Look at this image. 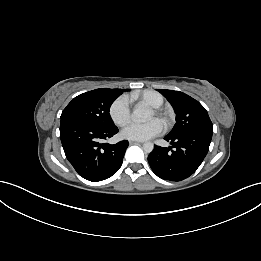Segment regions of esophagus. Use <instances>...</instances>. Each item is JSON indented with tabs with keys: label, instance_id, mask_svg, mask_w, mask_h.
I'll list each match as a JSON object with an SVG mask.
<instances>
[{
	"label": "esophagus",
	"instance_id": "34e87169",
	"mask_svg": "<svg viewBox=\"0 0 261 261\" xmlns=\"http://www.w3.org/2000/svg\"><path fill=\"white\" fill-rule=\"evenodd\" d=\"M129 143L132 145H138V144H142L143 142L130 140Z\"/></svg>",
	"mask_w": 261,
	"mask_h": 261
}]
</instances>
